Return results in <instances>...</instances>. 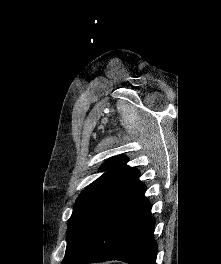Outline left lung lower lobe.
I'll return each mask as SVG.
<instances>
[{
  "label": "left lung lower lobe",
  "instance_id": "left-lung-lower-lobe-1",
  "mask_svg": "<svg viewBox=\"0 0 221 264\" xmlns=\"http://www.w3.org/2000/svg\"><path fill=\"white\" fill-rule=\"evenodd\" d=\"M142 183L113 208L63 259L61 264L120 260L129 264H156L155 219Z\"/></svg>",
  "mask_w": 221,
  "mask_h": 264
}]
</instances>
